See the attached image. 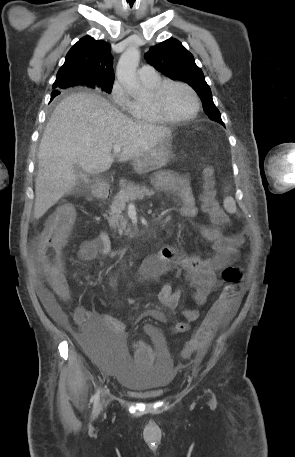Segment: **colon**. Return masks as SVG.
<instances>
[{
    "label": "colon",
    "mask_w": 295,
    "mask_h": 457,
    "mask_svg": "<svg viewBox=\"0 0 295 457\" xmlns=\"http://www.w3.org/2000/svg\"><path fill=\"white\" fill-rule=\"evenodd\" d=\"M203 178L202 208L215 224L225 225L229 218L215 197L210 168L204 169ZM73 221V209L68 205L60 207L49 219L37 244L38 256L47 280L54 292L64 300L70 298L71 291L63 274L62 248ZM242 278L243 272L239 267L231 266L223 270L222 280L225 286L189 339L184 351L185 357L204 350L216 328L232 314L239 301ZM134 351L137 366H152L153 360H156V353L150 350L146 341H137Z\"/></svg>",
    "instance_id": "1"
}]
</instances>
